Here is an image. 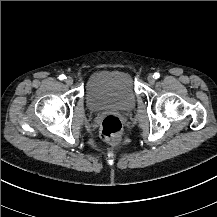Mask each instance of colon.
Instances as JSON below:
<instances>
[{
	"instance_id": "obj_1",
	"label": "colon",
	"mask_w": 217,
	"mask_h": 217,
	"mask_svg": "<svg viewBox=\"0 0 217 217\" xmlns=\"http://www.w3.org/2000/svg\"><path fill=\"white\" fill-rule=\"evenodd\" d=\"M121 129L122 123L119 117L109 114L102 121L101 135L106 141L116 144L120 141Z\"/></svg>"
}]
</instances>
